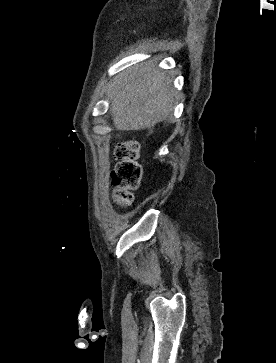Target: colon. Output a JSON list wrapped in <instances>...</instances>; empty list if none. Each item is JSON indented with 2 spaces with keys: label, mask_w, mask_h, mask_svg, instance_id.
<instances>
[{
  "label": "colon",
  "mask_w": 276,
  "mask_h": 363,
  "mask_svg": "<svg viewBox=\"0 0 276 363\" xmlns=\"http://www.w3.org/2000/svg\"><path fill=\"white\" fill-rule=\"evenodd\" d=\"M117 164L111 174L113 196L120 206H127L133 200L132 191L137 189L142 176V168L137 162L138 144L121 142L115 149Z\"/></svg>",
  "instance_id": "1"
}]
</instances>
